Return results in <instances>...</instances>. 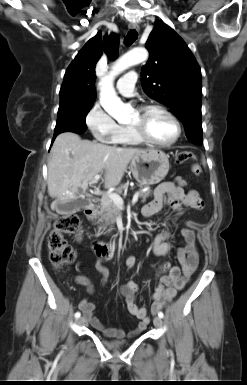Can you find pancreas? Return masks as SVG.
Wrapping results in <instances>:
<instances>
[{"label": "pancreas", "mask_w": 247, "mask_h": 385, "mask_svg": "<svg viewBox=\"0 0 247 385\" xmlns=\"http://www.w3.org/2000/svg\"><path fill=\"white\" fill-rule=\"evenodd\" d=\"M123 189H126V187L117 190L116 193L122 194ZM151 192V190L139 192V197L142 199L141 201L143 203L146 201V198L151 195ZM119 214V206H117L110 198L105 197L101 200V207L100 211L98 212L101 222L104 221L105 223H114Z\"/></svg>", "instance_id": "1"}]
</instances>
